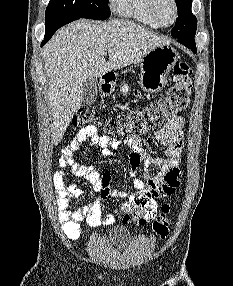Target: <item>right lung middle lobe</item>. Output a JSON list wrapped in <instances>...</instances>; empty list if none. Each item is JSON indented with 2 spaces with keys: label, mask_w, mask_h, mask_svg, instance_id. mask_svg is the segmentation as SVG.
Returning a JSON list of instances; mask_svg holds the SVG:
<instances>
[{
  "label": "right lung middle lobe",
  "mask_w": 233,
  "mask_h": 286,
  "mask_svg": "<svg viewBox=\"0 0 233 286\" xmlns=\"http://www.w3.org/2000/svg\"><path fill=\"white\" fill-rule=\"evenodd\" d=\"M111 12L107 0H50L45 14V24L62 17L104 20Z\"/></svg>",
  "instance_id": "1"
}]
</instances>
